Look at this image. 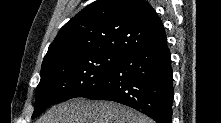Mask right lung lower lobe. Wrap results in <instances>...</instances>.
<instances>
[{"label": "right lung lower lobe", "instance_id": "obj_1", "mask_svg": "<svg viewBox=\"0 0 221 123\" xmlns=\"http://www.w3.org/2000/svg\"><path fill=\"white\" fill-rule=\"evenodd\" d=\"M167 43L128 53L113 72L82 97L132 107L157 123H171L174 97Z\"/></svg>", "mask_w": 221, "mask_h": 123}]
</instances>
